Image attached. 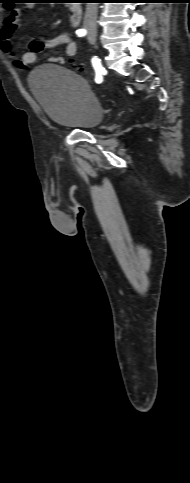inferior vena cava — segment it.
<instances>
[{
	"mask_svg": "<svg viewBox=\"0 0 190 483\" xmlns=\"http://www.w3.org/2000/svg\"><path fill=\"white\" fill-rule=\"evenodd\" d=\"M98 3H87L84 17V27L88 30H96Z\"/></svg>",
	"mask_w": 190,
	"mask_h": 483,
	"instance_id": "602c4592",
	"label": "inferior vena cava"
}]
</instances>
